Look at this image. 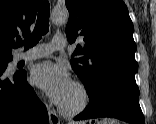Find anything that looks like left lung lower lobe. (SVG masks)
Masks as SVG:
<instances>
[{
    "instance_id": "obj_1",
    "label": "left lung lower lobe",
    "mask_w": 156,
    "mask_h": 124,
    "mask_svg": "<svg viewBox=\"0 0 156 124\" xmlns=\"http://www.w3.org/2000/svg\"><path fill=\"white\" fill-rule=\"evenodd\" d=\"M89 99L88 106L74 120L113 117L131 124H145L137 92L119 86H111Z\"/></svg>"
}]
</instances>
